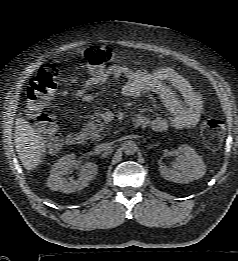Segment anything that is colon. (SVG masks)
Listing matches in <instances>:
<instances>
[{
    "mask_svg": "<svg viewBox=\"0 0 238 261\" xmlns=\"http://www.w3.org/2000/svg\"><path fill=\"white\" fill-rule=\"evenodd\" d=\"M112 52L105 47L86 50L81 56L83 66L92 76H102L112 61ZM59 72L53 64H47L33 76L26 92L28 113L35 118L40 132L48 137V146L56 150L61 144L58 126L45 109L56 93ZM225 133L224 122L207 116L201 125V134L206 147L216 150L221 145Z\"/></svg>",
    "mask_w": 238,
    "mask_h": 261,
    "instance_id": "1",
    "label": "colon"
}]
</instances>
